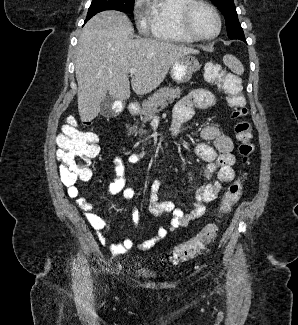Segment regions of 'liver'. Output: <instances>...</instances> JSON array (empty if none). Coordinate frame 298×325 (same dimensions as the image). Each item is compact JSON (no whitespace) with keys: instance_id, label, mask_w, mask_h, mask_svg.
<instances>
[{"instance_id":"liver-1","label":"liver","mask_w":298,"mask_h":325,"mask_svg":"<svg viewBox=\"0 0 298 325\" xmlns=\"http://www.w3.org/2000/svg\"><path fill=\"white\" fill-rule=\"evenodd\" d=\"M132 30L128 16L119 10L98 12L83 26L75 64L82 122L98 116L107 92L116 100H127L130 88L136 94L152 92L178 58L200 52L186 44L156 38H129ZM130 68H137L131 80Z\"/></svg>"}]
</instances>
